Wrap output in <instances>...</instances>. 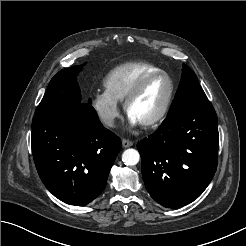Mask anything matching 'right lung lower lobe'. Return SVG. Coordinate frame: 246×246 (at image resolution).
<instances>
[{
    "label": "right lung lower lobe",
    "instance_id": "right-lung-lower-lobe-1",
    "mask_svg": "<svg viewBox=\"0 0 246 246\" xmlns=\"http://www.w3.org/2000/svg\"><path fill=\"white\" fill-rule=\"evenodd\" d=\"M31 144L46 188L77 206L101 194L121 150L120 139L103 127L89 103L59 117L33 118Z\"/></svg>",
    "mask_w": 246,
    "mask_h": 246
}]
</instances>
